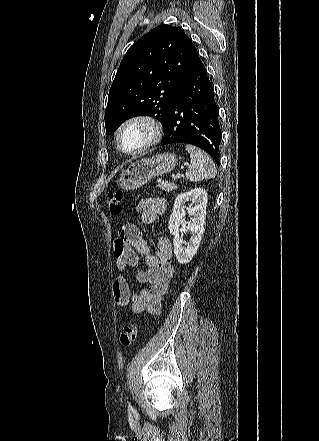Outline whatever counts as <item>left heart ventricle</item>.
Returning a JSON list of instances; mask_svg holds the SVG:
<instances>
[{"mask_svg": "<svg viewBox=\"0 0 319 441\" xmlns=\"http://www.w3.org/2000/svg\"><path fill=\"white\" fill-rule=\"evenodd\" d=\"M148 138V131L142 125H133L127 128L121 137L123 147L133 150L141 146Z\"/></svg>", "mask_w": 319, "mask_h": 441, "instance_id": "left-heart-ventricle-1", "label": "left heart ventricle"}]
</instances>
